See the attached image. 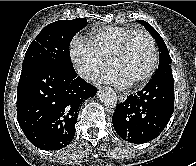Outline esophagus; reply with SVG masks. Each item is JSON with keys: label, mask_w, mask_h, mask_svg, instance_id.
I'll return each instance as SVG.
<instances>
[{"label": "esophagus", "mask_w": 196, "mask_h": 166, "mask_svg": "<svg viewBox=\"0 0 196 166\" xmlns=\"http://www.w3.org/2000/svg\"><path fill=\"white\" fill-rule=\"evenodd\" d=\"M118 99L120 102H124L127 99V97L123 93H118Z\"/></svg>", "instance_id": "34e87169"}]
</instances>
